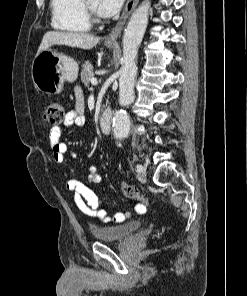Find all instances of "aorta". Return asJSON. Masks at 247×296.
I'll list each match as a JSON object with an SVG mask.
<instances>
[{
	"mask_svg": "<svg viewBox=\"0 0 247 296\" xmlns=\"http://www.w3.org/2000/svg\"><path fill=\"white\" fill-rule=\"evenodd\" d=\"M150 2L144 1L132 14L123 35V66L119 78V104L125 107L133 102L134 82L137 73L136 59L148 24ZM130 130V118L126 110L120 109L113 117L115 137H125Z\"/></svg>",
	"mask_w": 247,
	"mask_h": 296,
	"instance_id": "obj_1",
	"label": "aorta"
}]
</instances>
